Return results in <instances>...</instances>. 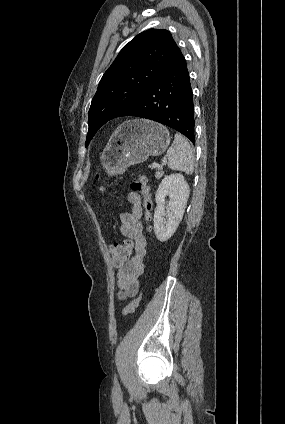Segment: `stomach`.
Instances as JSON below:
<instances>
[{
  "instance_id": "1",
  "label": "stomach",
  "mask_w": 285,
  "mask_h": 424,
  "mask_svg": "<svg viewBox=\"0 0 285 424\" xmlns=\"http://www.w3.org/2000/svg\"><path fill=\"white\" fill-rule=\"evenodd\" d=\"M169 144L170 133L163 125L145 119L125 121L106 145L101 163L109 175L121 174L149 156L163 154Z\"/></svg>"
}]
</instances>
